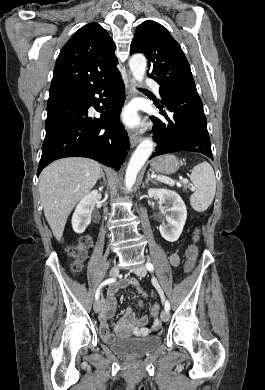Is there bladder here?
<instances>
[{
    "label": "bladder",
    "instance_id": "31cf9c89",
    "mask_svg": "<svg viewBox=\"0 0 265 390\" xmlns=\"http://www.w3.org/2000/svg\"><path fill=\"white\" fill-rule=\"evenodd\" d=\"M109 348L116 354L134 359L143 357L161 345L159 336L114 338L109 342Z\"/></svg>",
    "mask_w": 265,
    "mask_h": 390
}]
</instances>
